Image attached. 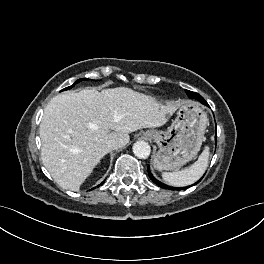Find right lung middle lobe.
Masks as SVG:
<instances>
[{"label":"right lung middle lobe","mask_w":264,"mask_h":264,"mask_svg":"<svg viewBox=\"0 0 264 264\" xmlns=\"http://www.w3.org/2000/svg\"><path fill=\"white\" fill-rule=\"evenodd\" d=\"M81 80H85V79H79V80H77L72 86H69V87H67V88H65V89H63V90H68V89L72 88L75 84H77V83L80 82Z\"/></svg>","instance_id":"1"}]
</instances>
